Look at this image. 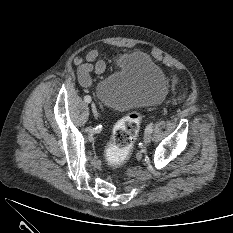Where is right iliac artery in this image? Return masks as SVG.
<instances>
[{
    "mask_svg": "<svg viewBox=\"0 0 233 233\" xmlns=\"http://www.w3.org/2000/svg\"><path fill=\"white\" fill-rule=\"evenodd\" d=\"M85 102L90 103L91 102V97L89 95H86L84 97Z\"/></svg>",
    "mask_w": 233,
    "mask_h": 233,
    "instance_id": "right-iliac-artery-1",
    "label": "right iliac artery"
}]
</instances>
